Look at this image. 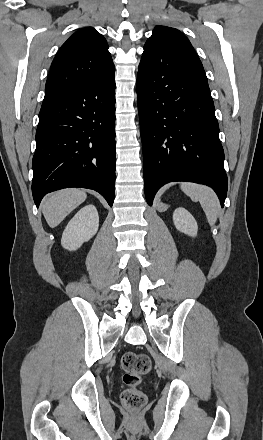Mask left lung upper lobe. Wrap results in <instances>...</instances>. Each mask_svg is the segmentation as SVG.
Listing matches in <instances>:
<instances>
[{
	"label": "left lung upper lobe",
	"mask_w": 263,
	"mask_h": 440,
	"mask_svg": "<svg viewBox=\"0 0 263 440\" xmlns=\"http://www.w3.org/2000/svg\"><path fill=\"white\" fill-rule=\"evenodd\" d=\"M169 57L207 80L202 63L187 37L175 28L157 26L144 45L140 63L158 65Z\"/></svg>",
	"instance_id": "left-lung-upper-lobe-1"
}]
</instances>
